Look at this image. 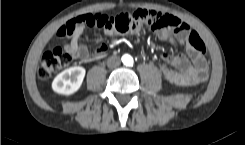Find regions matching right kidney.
I'll use <instances>...</instances> for the list:
<instances>
[{
    "mask_svg": "<svg viewBox=\"0 0 245 145\" xmlns=\"http://www.w3.org/2000/svg\"><path fill=\"white\" fill-rule=\"evenodd\" d=\"M85 73L86 70L80 66L65 69L54 78L53 91L63 95L75 93L81 87Z\"/></svg>",
    "mask_w": 245,
    "mask_h": 145,
    "instance_id": "right-kidney-1",
    "label": "right kidney"
}]
</instances>
